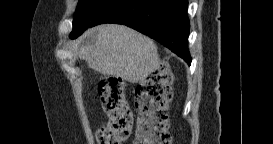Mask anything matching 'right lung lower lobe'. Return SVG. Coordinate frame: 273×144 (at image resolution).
I'll list each match as a JSON object with an SVG mask.
<instances>
[{
	"label": "right lung lower lobe",
	"mask_w": 273,
	"mask_h": 144,
	"mask_svg": "<svg viewBox=\"0 0 273 144\" xmlns=\"http://www.w3.org/2000/svg\"><path fill=\"white\" fill-rule=\"evenodd\" d=\"M187 8V0H112L89 27L103 23L127 25L157 40L190 65Z\"/></svg>",
	"instance_id": "obj_1"
}]
</instances>
